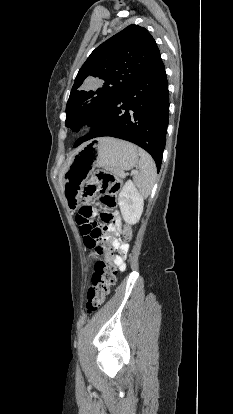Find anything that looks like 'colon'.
<instances>
[{
  "mask_svg": "<svg viewBox=\"0 0 233 414\" xmlns=\"http://www.w3.org/2000/svg\"><path fill=\"white\" fill-rule=\"evenodd\" d=\"M120 187L121 182L117 177L105 171H97L85 187L84 196L100 193L104 209L109 210L116 205V194ZM107 214V212L104 213V215ZM90 217L89 207L82 205L79 209L77 222L80 225L84 242L86 245L96 246L97 253L105 256V260L96 261L91 286L87 291L86 308L89 313H92L105 303L111 288L115 284L116 269L112 259L115 256L116 248L111 238H101L100 229L90 223ZM131 238L132 230L129 226H125L122 236L123 245H127Z\"/></svg>",
  "mask_w": 233,
  "mask_h": 414,
  "instance_id": "5ec220e1",
  "label": "colon"
}]
</instances>
